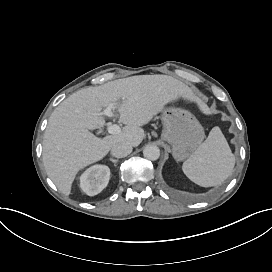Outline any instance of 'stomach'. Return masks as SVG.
Returning <instances> with one entry per match:
<instances>
[{
  "label": "stomach",
  "mask_w": 272,
  "mask_h": 272,
  "mask_svg": "<svg viewBox=\"0 0 272 272\" xmlns=\"http://www.w3.org/2000/svg\"><path fill=\"white\" fill-rule=\"evenodd\" d=\"M162 139L172 145L176 161L189 157L203 142L205 134L202 125L189 111L167 107L162 110Z\"/></svg>",
  "instance_id": "obj_1"
}]
</instances>
